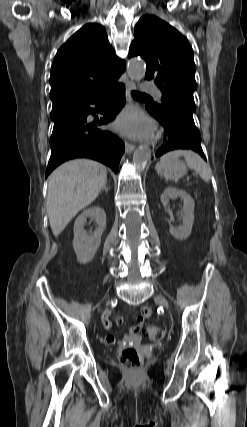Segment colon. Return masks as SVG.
Here are the masks:
<instances>
[{
	"mask_svg": "<svg viewBox=\"0 0 247 427\" xmlns=\"http://www.w3.org/2000/svg\"><path fill=\"white\" fill-rule=\"evenodd\" d=\"M145 333L150 340L155 342L163 340L166 335L164 329L152 324L146 327ZM119 359L122 365L130 371L137 370L143 362L142 355L134 347L122 349L119 354Z\"/></svg>",
	"mask_w": 247,
	"mask_h": 427,
	"instance_id": "obj_1",
	"label": "colon"
}]
</instances>
